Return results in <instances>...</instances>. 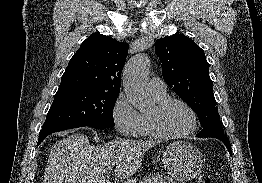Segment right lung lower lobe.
<instances>
[{
	"label": "right lung lower lobe",
	"instance_id": "98d812e1",
	"mask_svg": "<svg viewBox=\"0 0 262 183\" xmlns=\"http://www.w3.org/2000/svg\"><path fill=\"white\" fill-rule=\"evenodd\" d=\"M76 127H82V126H74V127H69V128H55V129H47V130H41L39 133V140L37 146L44 140L45 137L48 135L58 132V131H63L66 129H71V128H76Z\"/></svg>",
	"mask_w": 262,
	"mask_h": 183
}]
</instances>
